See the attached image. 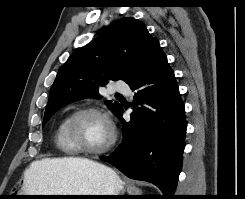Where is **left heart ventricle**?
Segmentation results:
<instances>
[{
	"label": "left heart ventricle",
	"mask_w": 245,
	"mask_h": 199,
	"mask_svg": "<svg viewBox=\"0 0 245 199\" xmlns=\"http://www.w3.org/2000/svg\"><path fill=\"white\" fill-rule=\"evenodd\" d=\"M74 138L89 148H100L109 141L110 128L104 118L97 115H86L77 121Z\"/></svg>",
	"instance_id": "obj_1"
}]
</instances>
